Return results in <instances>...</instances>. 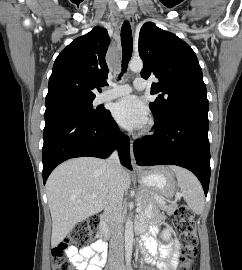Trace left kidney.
Instances as JSON below:
<instances>
[{
    "mask_svg": "<svg viewBox=\"0 0 242 270\" xmlns=\"http://www.w3.org/2000/svg\"><path fill=\"white\" fill-rule=\"evenodd\" d=\"M171 232H173V230L170 227L163 231L162 236L164 240H168L171 237Z\"/></svg>",
    "mask_w": 242,
    "mask_h": 270,
    "instance_id": "obj_1",
    "label": "left kidney"
}]
</instances>
